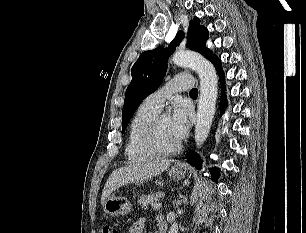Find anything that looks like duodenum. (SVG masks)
<instances>
[{"label": "duodenum", "instance_id": "duodenum-1", "mask_svg": "<svg viewBox=\"0 0 306 233\" xmlns=\"http://www.w3.org/2000/svg\"><path fill=\"white\" fill-rule=\"evenodd\" d=\"M159 229H160V233H166V230H167L166 225H161Z\"/></svg>", "mask_w": 306, "mask_h": 233}]
</instances>
